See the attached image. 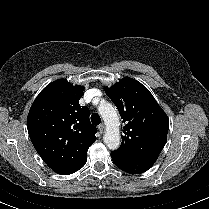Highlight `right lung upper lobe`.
<instances>
[{
  "label": "right lung upper lobe",
  "instance_id": "1",
  "mask_svg": "<svg viewBox=\"0 0 209 209\" xmlns=\"http://www.w3.org/2000/svg\"><path fill=\"white\" fill-rule=\"evenodd\" d=\"M84 87L66 80L47 85L33 102L27 129L44 162L56 173L72 174L87 161V151L96 140L90 111L80 106Z\"/></svg>",
  "mask_w": 209,
  "mask_h": 209
}]
</instances>
